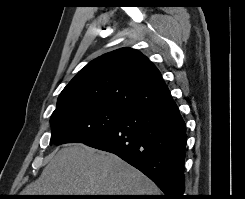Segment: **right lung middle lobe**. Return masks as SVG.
<instances>
[{"mask_svg":"<svg viewBox=\"0 0 245 199\" xmlns=\"http://www.w3.org/2000/svg\"><path fill=\"white\" fill-rule=\"evenodd\" d=\"M128 112L97 104H79L55 110L50 144L84 143L118 124Z\"/></svg>","mask_w":245,"mask_h":199,"instance_id":"right-lung-middle-lobe-1","label":"right lung middle lobe"}]
</instances>
